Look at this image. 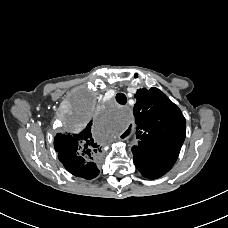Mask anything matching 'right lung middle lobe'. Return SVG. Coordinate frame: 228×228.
Instances as JSON below:
<instances>
[{"mask_svg": "<svg viewBox=\"0 0 228 228\" xmlns=\"http://www.w3.org/2000/svg\"><path fill=\"white\" fill-rule=\"evenodd\" d=\"M94 111L93 101L87 95H81L78 98L76 109L71 115L72 122L76 127L83 125Z\"/></svg>", "mask_w": 228, "mask_h": 228, "instance_id": "dd1d6c3e", "label": "right lung middle lobe"}]
</instances>
